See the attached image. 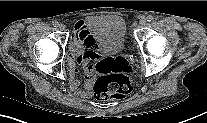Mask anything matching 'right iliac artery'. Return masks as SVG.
<instances>
[{
	"mask_svg": "<svg viewBox=\"0 0 207 123\" xmlns=\"http://www.w3.org/2000/svg\"><path fill=\"white\" fill-rule=\"evenodd\" d=\"M52 24H53L54 27H58V25H59V23L56 20L53 21Z\"/></svg>",
	"mask_w": 207,
	"mask_h": 123,
	"instance_id": "82829eb1",
	"label": "right iliac artery"
}]
</instances>
